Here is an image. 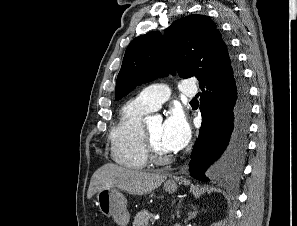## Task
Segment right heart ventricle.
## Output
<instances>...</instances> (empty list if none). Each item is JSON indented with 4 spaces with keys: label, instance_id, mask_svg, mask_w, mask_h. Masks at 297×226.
<instances>
[{
    "label": "right heart ventricle",
    "instance_id": "e07e8e85",
    "mask_svg": "<svg viewBox=\"0 0 297 226\" xmlns=\"http://www.w3.org/2000/svg\"><path fill=\"white\" fill-rule=\"evenodd\" d=\"M151 112L137 98L129 100L121 109L119 118L110 132L113 160L127 168L143 169L148 156L142 139L143 117Z\"/></svg>",
    "mask_w": 297,
    "mask_h": 226
}]
</instances>
